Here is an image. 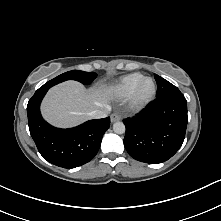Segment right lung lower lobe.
<instances>
[{
    "label": "right lung lower lobe",
    "mask_w": 221,
    "mask_h": 221,
    "mask_svg": "<svg viewBox=\"0 0 221 221\" xmlns=\"http://www.w3.org/2000/svg\"><path fill=\"white\" fill-rule=\"evenodd\" d=\"M48 88L38 89L27 105L30 134L48 162L63 168L81 166L97 154L110 118L87 121L70 129H59L43 120L40 103Z\"/></svg>",
    "instance_id": "obj_1"
}]
</instances>
